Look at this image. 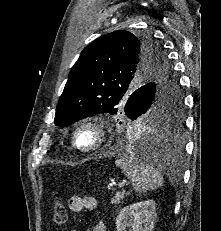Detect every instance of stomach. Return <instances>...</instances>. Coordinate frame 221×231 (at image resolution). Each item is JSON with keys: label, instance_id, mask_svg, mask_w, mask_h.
I'll return each mask as SVG.
<instances>
[{"label": "stomach", "instance_id": "1", "mask_svg": "<svg viewBox=\"0 0 221 231\" xmlns=\"http://www.w3.org/2000/svg\"><path fill=\"white\" fill-rule=\"evenodd\" d=\"M143 129H147L146 124H142L139 127H133L131 130H143Z\"/></svg>", "mask_w": 221, "mask_h": 231}]
</instances>
